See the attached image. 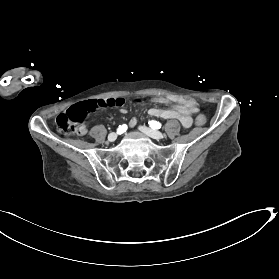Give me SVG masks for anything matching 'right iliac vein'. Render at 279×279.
I'll return each instance as SVG.
<instances>
[{"label":"right iliac vein","instance_id":"right-iliac-vein-1","mask_svg":"<svg viewBox=\"0 0 279 279\" xmlns=\"http://www.w3.org/2000/svg\"><path fill=\"white\" fill-rule=\"evenodd\" d=\"M117 139V134L115 132H112L108 135V141L113 142Z\"/></svg>","mask_w":279,"mask_h":279}]
</instances>
